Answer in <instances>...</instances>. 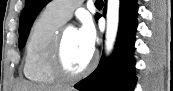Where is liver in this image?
Instances as JSON below:
<instances>
[{
	"instance_id": "liver-1",
	"label": "liver",
	"mask_w": 173,
	"mask_h": 91,
	"mask_svg": "<svg viewBox=\"0 0 173 91\" xmlns=\"http://www.w3.org/2000/svg\"><path fill=\"white\" fill-rule=\"evenodd\" d=\"M13 91H72V89L67 88L64 90L56 86H41L24 81L17 83Z\"/></svg>"
}]
</instances>
